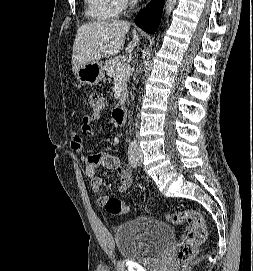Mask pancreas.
<instances>
[{"instance_id":"pancreas-1","label":"pancreas","mask_w":253,"mask_h":271,"mask_svg":"<svg viewBox=\"0 0 253 271\" xmlns=\"http://www.w3.org/2000/svg\"><path fill=\"white\" fill-rule=\"evenodd\" d=\"M124 64L123 59L119 56L111 58L105 62L104 70L106 71L107 75L112 77L114 80L117 79L118 68ZM130 74L126 75L121 79L122 84V92L119 99V104H123L126 95H127V82L129 81Z\"/></svg>"}]
</instances>
